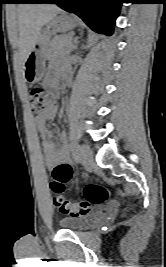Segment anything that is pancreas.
<instances>
[{
    "label": "pancreas",
    "instance_id": "1",
    "mask_svg": "<svg viewBox=\"0 0 166 267\" xmlns=\"http://www.w3.org/2000/svg\"><path fill=\"white\" fill-rule=\"evenodd\" d=\"M70 37L68 35L55 36L50 42L47 51V59L51 60L56 57H61L70 52Z\"/></svg>",
    "mask_w": 166,
    "mask_h": 267
}]
</instances>
